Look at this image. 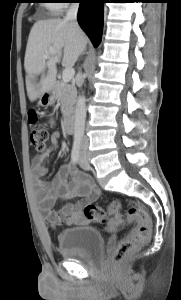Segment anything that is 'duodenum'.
Returning <instances> with one entry per match:
<instances>
[{"instance_id":"duodenum-1","label":"duodenum","mask_w":181,"mask_h":300,"mask_svg":"<svg viewBox=\"0 0 181 300\" xmlns=\"http://www.w3.org/2000/svg\"><path fill=\"white\" fill-rule=\"evenodd\" d=\"M46 93L48 95L51 94L50 90H47ZM64 128L68 134H72L74 132V119L71 115H66L64 118Z\"/></svg>"}]
</instances>
